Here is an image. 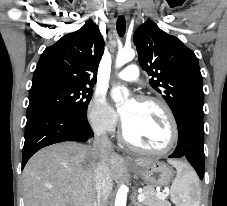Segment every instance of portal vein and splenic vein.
Here are the masks:
<instances>
[{
	"label": "portal vein and splenic vein",
	"instance_id": "portal-vein-and-splenic-vein-1",
	"mask_svg": "<svg viewBox=\"0 0 227 206\" xmlns=\"http://www.w3.org/2000/svg\"><path fill=\"white\" fill-rule=\"evenodd\" d=\"M168 192H169V191L166 189V194L161 193V192H157L156 195H157V197H159L160 199H165L166 196L168 195ZM144 199H145V195L143 194L142 191H139L138 201H139V202H143Z\"/></svg>",
	"mask_w": 227,
	"mask_h": 206
}]
</instances>
